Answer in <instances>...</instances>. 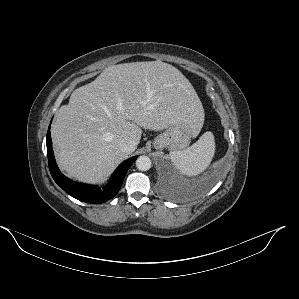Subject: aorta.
<instances>
[{
    "instance_id": "762f6f07",
    "label": "aorta",
    "mask_w": 299,
    "mask_h": 299,
    "mask_svg": "<svg viewBox=\"0 0 299 299\" xmlns=\"http://www.w3.org/2000/svg\"><path fill=\"white\" fill-rule=\"evenodd\" d=\"M151 159L148 156H139L136 160V167L140 171H147L151 168Z\"/></svg>"
}]
</instances>
